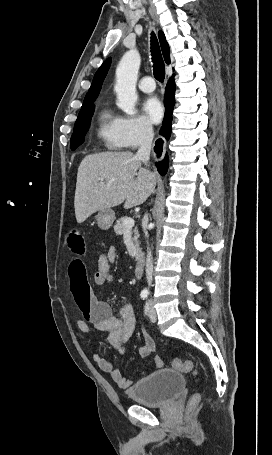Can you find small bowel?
<instances>
[{"label":"small bowel","mask_w":272,"mask_h":455,"mask_svg":"<svg viewBox=\"0 0 272 455\" xmlns=\"http://www.w3.org/2000/svg\"><path fill=\"white\" fill-rule=\"evenodd\" d=\"M69 247L76 255L84 251L83 238L80 234L73 232L69 236ZM110 263L116 260L117 253L111 247L107 251ZM70 288L74 301L81 313L76 325L84 334L92 333L93 329L98 332H106L109 343L118 351L123 353L125 345L131 338L135 329V316L130 304H124L119 314L115 315L110 305L105 301L98 300L92 293L87 271L84 263L75 258L69 264ZM93 324V329L90 327ZM144 345L139 348V355L147 357L154 349L151 336L143 331ZM93 360L99 368L109 374L112 380L122 389L129 388L133 381L127 379L121 370L115 367L111 361L100 353H94ZM163 362L160 357L154 358V367L161 368Z\"/></svg>","instance_id":"c3829d8e"}]
</instances>
